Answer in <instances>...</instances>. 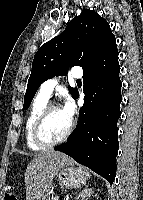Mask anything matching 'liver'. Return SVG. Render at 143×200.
<instances>
[{"mask_svg":"<svg viewBox=\"0 0 143 200\" xmlns=\"http://www.w3.org/2000/svg\"><path fill=\"white\" fill-rule=\"evenodd\" d=\"M74 160L62 152L45 151L32 159L25 172L26 200H45L53 177Z\"/></svg>","mask_w":143,"mask_h":200,"instance_id":"obj_1","label":"liver"}]
</instances>
